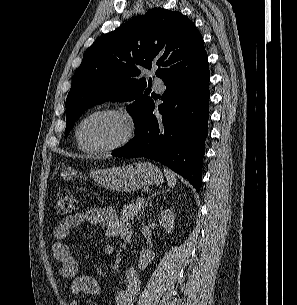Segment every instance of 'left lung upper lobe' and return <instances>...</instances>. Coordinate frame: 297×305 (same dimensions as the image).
Masks as SVG:
<instances>
[{
    "label": "left lung upper lobe",
    "instance_id": "obj_1",
    "mask_svg": "<svg viewBox=\"0 0 297 305\" xmlns=\"http://www.w3.org/2000/svg\"><path fill=\"white\" fill-rule=\"evenodd\" d=\"M158 65L164 79L177 70L208 68L202 35L180 12L152 8L118 29L98 38L84 53L66 99V129L88 108L105 101L132 102L127 111L134 122L152 100L146 80L135 79L142 67Z\"/></svg>",
    "mask_w": 297,
    "mask_h": 305
}]
</instances>
